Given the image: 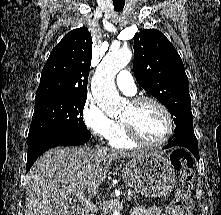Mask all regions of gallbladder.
I'll return each mask as SVG.
<instances>
[{"mask_svg": "<svg viewBox=\"0 0 221 215\" xmlns=\"http://www.w3.org/2000/svg\"><path fill=\"white\" fill-rule=\"evenodd\" d=\"M70 215H81V209L76 206L70 207Z\"/></svg>", "mask_w": 221, "mask_h": 215, "instance_id": "obj_1", "label": "gallbladder"}]
</instances>
